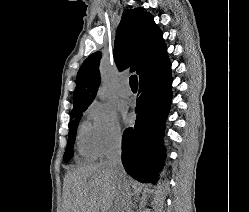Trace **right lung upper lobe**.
<instances>
[{
	"instance_id": "cb5924a9",
	"label": "right lung upper lobe",
	"mask_w": 249,
	"mask_h": 212,
	"mask_svg": "<svg viewBox=\"0 0 249 212\" xmlns=\"http://www.w3.org/2000/svg\"><path fill=\"white\" fill-rule=\"evenodd\" d=\"M167 56L162 31L153 16L143 8L123 12L118 26L114 60L119 70L131 66L139 77ZM101 53L91 54L81 65L73 95V109L87 108L96 96L100 84L99 63Z\"/></svg>"
}]
</instances>
